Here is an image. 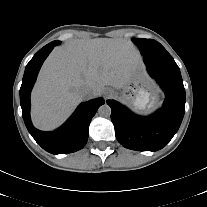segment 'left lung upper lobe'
<instances>
[{"instance_id":"obj_1","label":"left lung upper lobe","mask_w":207,"mask_h":207,"mask_svg":"<svg viewBox=\"0 0 207 207\" xmlns=\"http://www.w3.org/2000/svg\"><path fill=\"white\" fill-rule=\"evenodd\" d=\"M133 42L139 47L143 56L168 55L165 48L155 40L152 39H133Z\"/></svg>"}]
</instances>
